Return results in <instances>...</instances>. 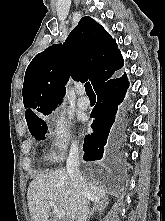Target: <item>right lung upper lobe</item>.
<instances>
[{
	"instance_id": "obj_1",
	"label": "right lung upper lobe",
	"mask_w": 165,
	"mask_h": 221,
	"mask_svg": "<svg viewBox=\"0 0 165 221\" xmlns=\"http://www.w3.org/2000/svg\"><path fill=\"white\" fill-rule=\"evenodd\" d=\"M123 65L115 39L91 17H83L63 45L48 47L27 67L23 85L27 124L52 112L62 100L68 77L89 79L95 90L116 77Z\"/></svg>"
}]
</instances>
